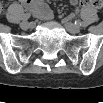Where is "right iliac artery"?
Masks as SVG:
<instances>
[{
  "label": "right iliac artery",
  "instance_id": "1",
  "mask_svg": "<svg viewBox=\"0 0 103 103\" xmlns=\"http://www.w3.org/2000/svg\"><path fill=\"white\" fill-rule=\"evenodd\" d=\"M31 14L30 13H26L22 16V20H28L30 18Z\"/></svg>",
  "mask_w": 103,
  "mask_h": 103
}]
</instances>
